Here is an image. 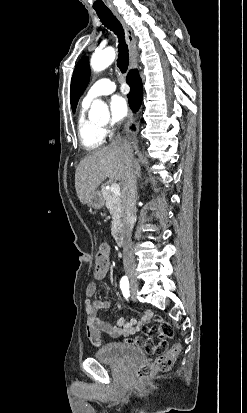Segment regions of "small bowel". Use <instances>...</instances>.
Here are the masks:
<instances>
[{"instance_id": "c3829d8e", "label": "small bowel", "mask_w": 247, "mask_h": 413, "mask_svg": "<svg viewBox=\"0 0 247 413\" xmlns=\"http://www.w3.org/2000/svg\"><path fill=\"white\" fill-rule=\"evenodd\" d=\"M97 262V257H96ZM93 282L88 283L85 290V330L90 342L97 346L101 341V334L103 332L107 333L112 338H127L133 342H118V347H133L134 349H146L148 355H164L166 353V348L164 346H159L156 348L152 340H144L142 334H137L135 337L132 336L135 333L141 331L144 327V335L146 338H153L155 335L154 331H167L168 337L174 336V331L172 329V324L170 322H163V317L161 315H155L150 310L143 311L140 315H137L126 322L124 316L119 317L116 324H111L107 321L106 317L101 314V310L108 309L111 306L109 301L104 300H91V297L95 294L97 290V283H102L104 277L102 274H94L92 277ZM117 308L122 310V305L117 304ZM153 319V323L150 321Z\"/></svg>"}]
</instances>
